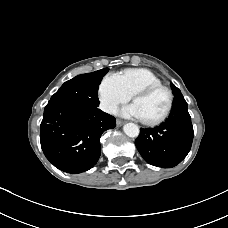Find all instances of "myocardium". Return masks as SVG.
Here are the masks:
<instances>
[{
    "instance_id": "myocardium-1",
    "label": "myocardium",
    "mask_w": 228,
    "mask_h": 228,
    "mask_svg": "<svg viewBox=\"0 0 228 228\" xmlns=\"http://www.w3.org/2000/svg\"><path fill=\"white\" fill-rule=\"evenodd\" d=\"M158 90H164L167 93V95H168L167 106H166L164 112L161 115H159L158 117H156L154 119H142V122L146 125H150V126L157 125V124L161 123L162 121H164L168 117V115L170 114L172 107H173L174 95H173L170 88H168L162 84L149 85V86L140 88L139 90L134 92L132 95V100L134 101L138 97L147 96V95H149L155 91H158Z\"/></svg>"
}]
</instances>
